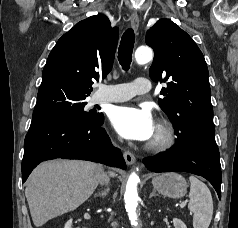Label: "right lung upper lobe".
<instances>
[{"label": "right lung upper lobe", "instance_id": "right-lung-upper-lobe-1", "mask_svg": "<svg viewBox=\"0 0 238 228\" xmlns=\"http://www.w3.org/2000/svg\"><path fill=\"white\" fill-rule=\"evenodd\" d=\"M118 28L104 15L77 23L56 43L42 73L34 117L84 102L95 80L112 68Z\"/></svg>", "mask_w": 238, "mask_h": 228}]
</instances>
